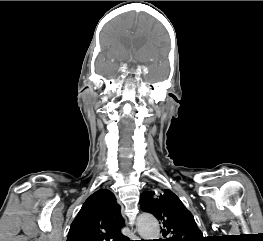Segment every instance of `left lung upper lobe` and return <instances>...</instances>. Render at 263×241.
I'll return each instance as SVG.
<instances>
[{
	"label": "left lung upper lobe",
	"mask_w": 263,
	"mask_h": 241,
	"mask_svg": "<svg viewBox=\"0 0 263 241\" xmlns=\"http://www.w3.org/2000/svg\"><path fill=\"white\" fill-rule=\"evenodd\" d=\"M140 208L153 214L162 224L163 241H204L193 215L168 189L142 193Z\"/></svg>",
	"instance_id": "1"
}]
</instances>
